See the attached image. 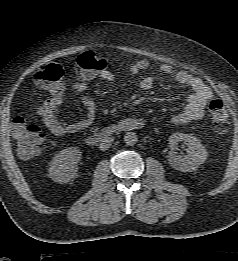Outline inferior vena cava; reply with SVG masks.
<instances>
[{
    "label": "inferior vena cava",
    "instance_id": "inferior-vena-cava-1",
    "mask_svg": "<svg viewBox=\"0 0 238 261\" xmlns=\"http://www.w3.org/2000/svg\"><path fill=\"white\" fill-rule=\"evenodd\" d=\"M112 142H113V138H105V139H103L101 141L100 145H99L100 146L99 147L100 150H102V151L107 150L108 148H110Z\"/></svg>",
    "mask_w": 238,
    "mask_h": 261
}]
</instances>
